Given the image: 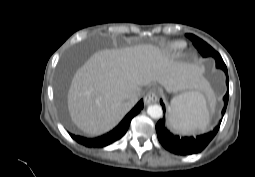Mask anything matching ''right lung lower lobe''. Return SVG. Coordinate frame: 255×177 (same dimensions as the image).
<instances>
[{
  "label": "right lung lower lobe",
  "instance_id": "98d812e1",
  "mask_svg": "<svg viewBox=\"0 0 255 177\" xmlns=\"http://www.w3.org/2000/svg\"><path fill=\"white\" fill-rule=\"evenodd\" d=\"M143 108V100H140L135 107L124 117V119L115 127L112 131L96 138H86L81 136H75L71 134V137L79 144L86 147L102 148L114 143L125 135L130 122L134 116H136Z\"/></svg>",
  "mask_w": 255,
  "mask_h": 177
}]
</instances>
